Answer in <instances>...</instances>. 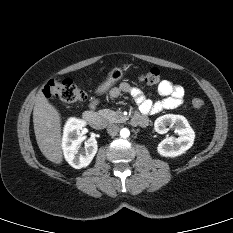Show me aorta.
<instances>
[{"label": "aorta", "mask_w": 233, "mask_h": 233, "mask_svg": "<svg viewBox=\"0 0 233 233\" xmlns=\"http://www.w3.org/2000/svg\"><path fill=\"white\" fill-rule=\"evenodd\" d=\"M129 135H130L129 129H127V128H122V129L120 130V136H121L122 138H128Z\"/></svg>", "instance_id": "1"}]
</instances>
